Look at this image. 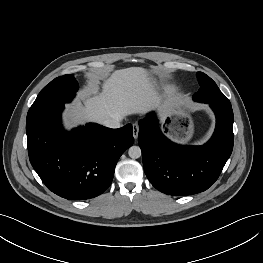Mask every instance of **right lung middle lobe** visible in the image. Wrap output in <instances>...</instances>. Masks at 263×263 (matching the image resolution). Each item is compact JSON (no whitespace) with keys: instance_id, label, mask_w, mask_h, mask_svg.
<instances>
[{"instance_id":"dd1d6c3e","label":"right lung middle lobe","mask_w":263,"mask_h":263,"mask_svg":"<svg viewBox=\"0 0 263 263\" xmlns=\"http://www.w3.org/2000/svg\"><path fill=\"white\" fill-rule=\"evenodd\" d=\"M78 83L73 75H63L46 85L30 107L27 120L39 115L59 103H68L75 96Z\"/></svg>"}]
</instances>
